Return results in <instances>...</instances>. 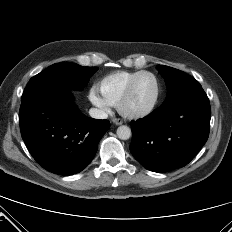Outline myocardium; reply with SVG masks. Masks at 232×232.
<instances>
[{
	"mask_svg": "<svg viewBox=\"0 0 232 232\" xmlns=\"http://www.w3.org/2000/svg\"><path fill=\"white\" fill-rule=\"evenodd\" d=\"M144 75H149L154 79V81L156 83L155 97H154L153 101L151 102V104L149 106H147L146 108L139 110V111H128V110H126V104L128 103V101L130 100V98L132 96V93H133V90H134V87H135L137 81L139 80L140 77H142ZM160 96H161V84H160L158 77L150 71H140L131 80V82L129 83L128 87L126 88L124 94L122 95V97L117 105L118 111L120 112V114L122 116L129 118V119L143 118L154 111V109L156 108V106L160 100Z\"/></svg>",
	"mask_w": 232,
	"mask_h": 232,
	"instance_id": "f54148a6",
	"label": "myocardium"
}]
</instances>
